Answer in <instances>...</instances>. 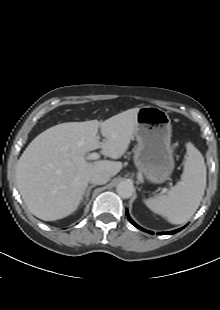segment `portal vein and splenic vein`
<instances>
[{
    "label": "portal vein and splenic vein",
    "mask_w": 220,
    "mask_h": 310,
    "mask_svg": "<svg viewBox=\"0 0 220 310\" xmlns=\"http://www.w3.org/2000/svg\"><path fill=\"white\" fill-rule=\"evenodd\" d=\"M99 158H100V155H99L98 153H95V152L90 153V154H88V156H87V159H88V160H96V159H99ZM163 192H166V189L163 190Z\"/></svg>",
    "instance_id": "obj_1"
}]
</instances>
